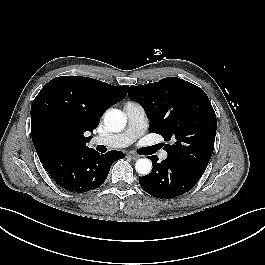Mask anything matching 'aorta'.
<instances>
[{
	"label": "aorta",
	"mask_w": 265,
	"mask_h": 265,
	"mask_svg": "<svg viewBox=\"0 0 265 265\" xmlns=\"http://www.w3.org/2000/svg\"><path fill=\"white\" fill-rule=\"evenodd\" d=\"M126 116L118 109H112L106 112L104 116L105 126L112 132H120L126 126ZM136 171L141 175H147L150 173L152 164L149 159H139L135 164Z\"/></svg>",
	"instance_id": "762f6f07"
}]
</instances>
